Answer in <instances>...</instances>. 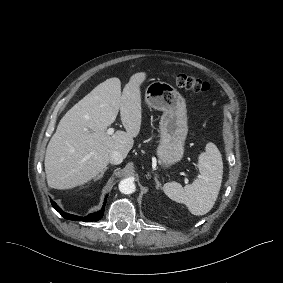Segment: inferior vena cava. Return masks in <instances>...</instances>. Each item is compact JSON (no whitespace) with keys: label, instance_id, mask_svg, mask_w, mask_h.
<instances>
[{"label":"inferior vena cava","instance_id":"602c4592","mask_svg":"<svg viewBox=\"0 0 283 283\" xmlns=\"http://www.w3.org/2000/svg\"><path fill=\"white\" fill-rule=\"evenodd\" d=\"M122 161H123V156H122V154L120 152L112 151L110 153V163L111 164L117 165V164L122 163Z\"/></svg>","mask_w":283,"mask_h":283}]
</instances>
